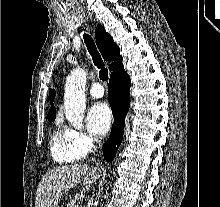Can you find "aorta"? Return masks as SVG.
Returning <instances> with one entry per match:
<instances>
[{
	"mask_svg": "<svg viewBox=\"0 0 220 207\" xmlns=\"http://www.w3.org/2000/svg\"><path fill=\"white\" fill-rule=\"evenodd\" d=\"M85 86L86 71L78 67L67 77L64 93L65 117L78 130L83 126L86 109Z\"/></svg>",
	"mask_w": 220,
	"mask_h": 207,
	"instance_id": "1",
	"label": "aorta"
}]
</instances>
